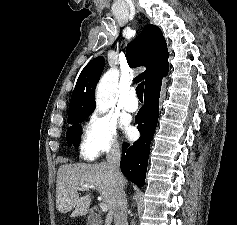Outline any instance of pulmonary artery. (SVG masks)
I'll list each match as a JSON object with an SVG mask.
<instances>
[{
  "mask_svg": "<svg viewBox=\"0 0 237 225\" xmlns=\"http://www.w3.org/2000/svg\"><path fill=\"white\" fill-rule=\"evenodd\" d=\"M124 109L128 112H135L138 110V100L133 89L129 90L126 94Z\"/></svg>",
  "mask_w": 237,
  "mask_h": 225,
  "instance_id": "obj_1",
  "label": "pulmonary artery"
}]
</instances>
